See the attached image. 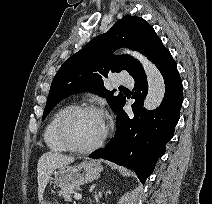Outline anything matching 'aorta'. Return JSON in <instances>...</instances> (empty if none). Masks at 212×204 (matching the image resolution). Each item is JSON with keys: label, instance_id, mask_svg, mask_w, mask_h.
Masks as SVG:
<instances>
[{"label": "aorta", "instance_id": "obj_1", "mask_svg": "<svg viewBox=\"0 0 212 204\" xmlns=\"http://www.w3.org/2000/svg\"><path fill=\"white\" fill-rule=\"evenodd\" d=\"M130 53L142 64L147 76L148 93L144 100V107L147 110H154L160 106L165 95V82L158 68L145 56L137 52L123 50V53Z\"/></svg>", "mask_w": 212, "mask_h": 204}]
</instances>
